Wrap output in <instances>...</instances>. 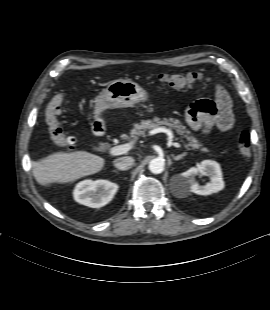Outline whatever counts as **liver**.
<instances>
[{
	"label": "liver",
	"mask_w": 270,
	"mask_h": 310,
	"mask_svg": "<svg viewBox=\"0 0 270 310\" xmlns=\"http://www.w3.org/2000/svg\"><path fill=\"white\" fill-rule=\"evenodd\" d=\"M105 160L87 151L55 152L32 162V172L42 186L53 183L74 182L82 177L100 172Z\"/></svg>",
	"instance_id": "6515ba94"
}]
</instances>
